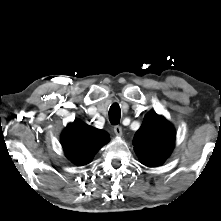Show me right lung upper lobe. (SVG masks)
I'll return each mask as SVG.
<instances>
[{"instance_id":"cb5924a9","label":"right lung upper lobe","mask_w":221,"mask_h":221,"mask_svg":"<svg viewBox=\"0 0 221 221\" xmlns=\"http://www.w3.org/2000/svg\"><path fill=\"white\" fill-rule=\"evenodd\" d=\"M61 141L68 158L82 166L91 162L100 147L109 141V137L106 132L75 120L65 128Z\"/></svg>"}]
</instances>
